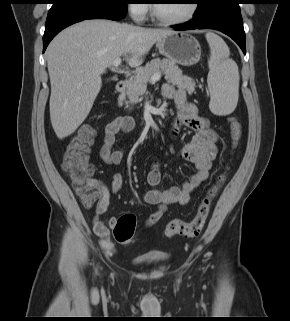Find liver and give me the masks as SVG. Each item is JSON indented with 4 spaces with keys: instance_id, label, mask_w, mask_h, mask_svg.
<instances>
[{
    "instance_id": "obj_1",
    "label": "liver",
    "mask_w": 290,
    "mask_h": 321,
    "mask_svg": "<svg viewBox=\"0 0 290 321\" xmlns=\"http://www.w3.org/2000/svg\"><path fill=\"white\" fill-rule=\"evenodd\" d=\"M104 19L85 20L61 31L46 50L51 83L50 119L59 139L71 135L88 116L101 89V75L125 57L140 66L152 46L172 33Z\"/></svg>"
}]
</instances>
